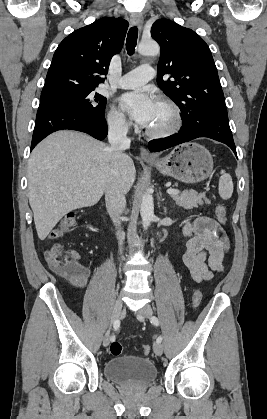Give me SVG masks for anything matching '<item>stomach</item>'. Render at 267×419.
Wrapping results in <instances>:
<instances>
[{
    "mask_svg": "<svg viewBox=\"0 0 267 419\" xmlns=\"http://www.w3.org/2000/svg\"><path fill=\"white\" fill-rule=\"evenodd\" d=\"M147 162L163 175L184 183L201 182L213 169L212 155L204 146L195 142L179 145L164 158Z\"/></svg>",
    "mask_w": 267,
    "mask_h": 419,
    "instance_id": "stomach-1",
    "label": "stomach"
}]
</instances>
